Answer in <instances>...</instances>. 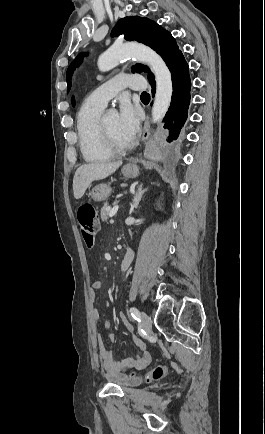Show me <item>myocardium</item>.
I'll use <instances>...</instances> for the list:
<instances>
[{"instance_id": "myocardium-1", "label": "myocardium", "mask_w": 265, "mask_h": 434, "mask_svg": "<svg viewBox=\"0 0 265 434\" xmlns=\"http://www.w3.org/2000/svg\"><path fill=\"white\" fill-rule=\"evenodd\" d=\"M102 129H103L107 148L112 154H125L126 152L130 151L133 148L132 144L123 146L116 143L113 139L110 129L108 128L104 120L102 121Z\"/></svg>"}]
</instances>
